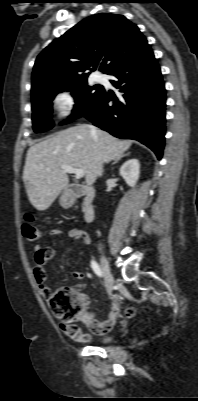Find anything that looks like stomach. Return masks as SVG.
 <instances>
[{"label": "stomach", "instance_id": "1", "mask_svg": "<svg viewBox=\"0 0 198 401\" xmlns=\"http://www.w3.org/2000/svg\"><path fill=\"white\" fill-rule=\"evenodd\" d=\"M60 204L64 208H69L72 206L73 200L67 194L64 193L60 197Z\"/></svg>", "mask_w": 198, "mask_h": 401}]
</instances>
